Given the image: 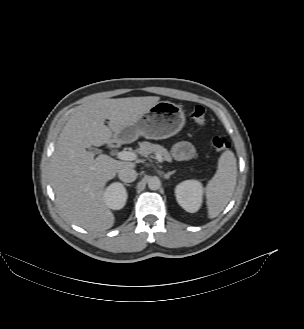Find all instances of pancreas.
I'll list each match as a JSON object with an SVG mask.
<instances>
[{"label":"pancreas","instance_id":"1","mask_svg":"<svg viewBox=\"0 0 304 329\" xmlns=\"http://www.w3.org/2000/svg\"><path fill=\"white\" fill-rule=\"evenodd\" d=\"M136 152L145 157L151 153L160 154L163 156L164 160L168 162L172 161V157L168 150L159 144H153L147 141L140 142L139 146L136 148Z\"/></svg>","mask_w":304,"mask_h":329}]
</instances>
